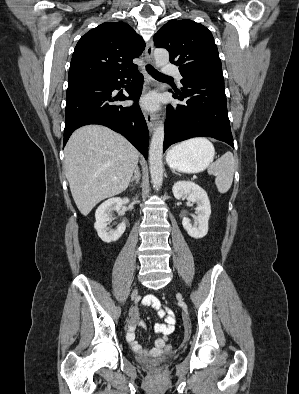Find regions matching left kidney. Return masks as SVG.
Wrapping results in <instances>:
<instances>
[{"label": "left kidney", "instance_id": "5707ae66", "mask_svg": "<svg viewBox=\"0 0 299 394\" xmlns=\"http://www.w3.org/2000/svg\"><path fill=\"white\" fill-rule=\"evenodd\" d=\"M176 199L186 198L197 204V222L191 224L190 219L184 217L182 225L189 236L195 239L203 238L208 233V221L211 215L210 201L207 193L199 185L191 181H178L172 187Z\"/></svg>", "mask_w": 299, "mask_h": 394}]
</instances>
